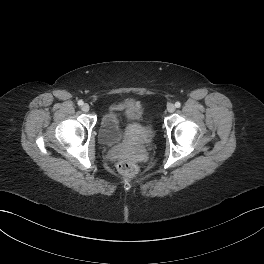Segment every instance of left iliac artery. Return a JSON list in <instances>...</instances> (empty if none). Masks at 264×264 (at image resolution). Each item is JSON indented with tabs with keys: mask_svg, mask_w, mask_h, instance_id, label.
Here are the masks:
<instances>
[{
	"mask_svg": "<svg viewBox=\"0 0 264 264\" xmlns=\"http://www.w3.org/2000/svg\"><path fill=\"white\" fill-rule=\"evenodd\" d=\"M180 106H181V103H180V102H176V103H175V107H176V108H180Z\"/></svg>",
	"mask_w": 264,
	"mask_h": 264,
	"instance_id": "1",
	"label": "left iliac artery"
}]
</instances>
